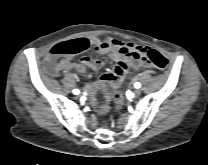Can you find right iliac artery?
Listing matches in <instances>:
<instances>
[{
	"mask_svg": "<svg viewBox=\"0 0 208 165\" xmlns=\"http://www.w3.org/2000/svg\"><path fill=\"white\" fill-rule=\"evenodd\" d=\"M79 92H80V91H79L78 89H74V90H73V93L76 94V95L79 94Z\"/></svg>",
	"mask_w": 208,
	"mask_h": 165,
	"instance_id": "82829eb1",
	"label": "right iliac artery"
}]
</instances>
